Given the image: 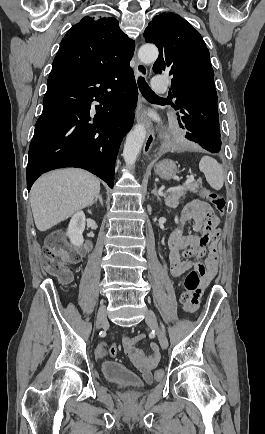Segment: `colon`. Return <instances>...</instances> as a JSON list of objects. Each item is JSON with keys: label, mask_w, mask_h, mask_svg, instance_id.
I'll use <instances>...</instances> for the list:
<instances>
[{"label": "colon", "mask_w": 265, "mask_h": 434, "mask_svg": "<svg viewBox=\"0 0 265 434\" xmlns=\"http://www.w3.org/2000/svg\"><path fill=\"white\" fill-rule=\"evenodd\" d=\"M202 193L209 199L215 210L223 215L225 212V199L217 191L204 189ZM66 249L62 243L61 235H55L48 239L47 245L44 248L43 269L49 276H56L62 285H68L72 281V272L68 268V264L75 262L78 259L76 253L63 252ZM184 280L185 292L182 294L181 301L187 313H191V295L194 292L195 286H200L203 278H199V270L191 268L188 270V275ZM118 349L110 346L105 342L98 345L96 354L98 358L106 357L107 355L115 356ZM163 375L162 369H157L154 373L156 379Z\"/></svg>", "instance_id": "obj_1"}]
</instances>
